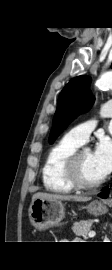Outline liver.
Masks as SVG:
<instances>
[{"label": "liver", "instance_id": "liver-1", "mask_svg": "<svg viewBox=\"0 0 112 270\" xmlns=\"http://www.w3.org/2000/svg\"><path fill=\"white\" fill-rule=\"evenodd\" d=\"M37 198H43V199H59V200H73V201H78V202H86L91 200V197H83V196H72V195H59V194H50V193H43V192H38L35 193L32 196V201L37 199Z\"/></svg>", "mask_w": 112, "mask_h": 270}]
</instances>
